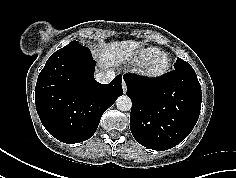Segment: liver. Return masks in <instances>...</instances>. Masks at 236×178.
<instances>
[{
    "instance_id": "6515ba94",
    "label": "liver",
    "mask_w": 236,
    "mask_h": 178,
    "mask_svg": "<svg viewBox=\"0 0 236 178\" xmlns=\"http://www.w3.org/2000/svg\"><path fill=\"white\" fill-rule=\"evenodd\" d=\"M139 45V42L132 40L112 42L104 45L97 51L100 60V68L103 69L115 62L128 60Z\"/></svg>"
}]
</instances>
